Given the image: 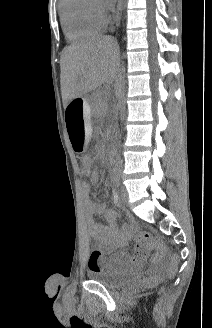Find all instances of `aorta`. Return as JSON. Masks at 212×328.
<instances>
[{"mask_svg":"<svg viewBox=\"0 0 212 328\" xmlns=\"http://www.w3.org/2000/svg\"><path fill=\"white\" fill-rule=\"evenodd\" d=\"M125 84H126V80H125V66H124V62L122 63V67H121V72L118 76L117 82H116V88L118 91V103H117V109L119 111V115H120V120L121 122H123L124 118H125V111H126V98H125ZM115 165L116 167H113L112 169V180H121V174L123 172L122 167L120 166V155L117 154L116 155V160H115Z\"/></svg>","mask_w":212,"mask_h":328,"instance_id":"aorta-1","label":"aorta"}]
</instances>
